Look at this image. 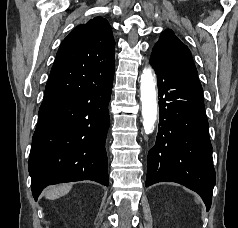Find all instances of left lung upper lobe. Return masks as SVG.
<instances>
[{
	"instance_id": "1",
	"label": "left lung upper lobe",
	"mask_w": 238,
	"mask_h": 228,
	"mask_svg": "<svg viewBox=\"0 0 238 228\" xmlns=\"http://www.w3.org/2000/svg\"><path fill=\"white\" fill-rule=\"evenodd\" d=\"M152 54H161L172 63L190 68L197 73L190 50L170 29L162 32L159 41L153 48Z\"/></svg>"
}]
</instances>
